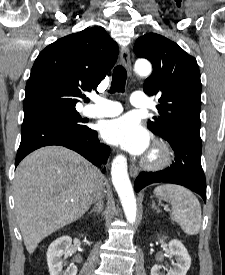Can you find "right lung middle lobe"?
Masks as SVG:
<instances>
[{
    "instance_id": "obj_1",
    "label": "right lung middle lobe",
    "mask_w": 225,
    "mask_h": 275,
    "mask_svg": "<svg viewBox=\"0 0 225 275\" xmlns=\"http://www.w3.org/2000/svg\"><path fill=\"white\" fill-rule=\"evenodd\" d=\"M31 120L54 121L79 131L88 129L87 126L82 124L81 117L76 110L48 111V112H43L39 114L24 116L23 122L31 121Z\"/></svg>"
}]
</instances>
